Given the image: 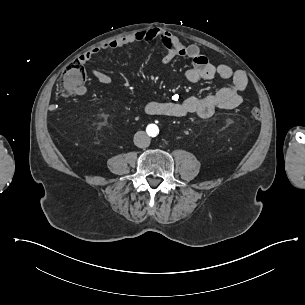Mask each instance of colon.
<instances>
[{"label":"colon","mask_w":305,"mask_h":305,"mask_svg":"<svg viewBox=\"0 0 305 305\" xmlns=\"http://www.w3.org/2000/svg\"><path fill=\"white\" fill-rule=\"evenodd\" d=\"M64 73L61 80L56 84V90L61 94L57 96V101L60 104L66 101L63 95L75 96L87 85L86 72L80 62H68L65 65ZM250 114L256 120L260 116L259 110L256 108L251 109Z\"/></svg>","instance_id":"1"}]
</instances>
